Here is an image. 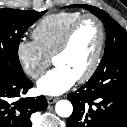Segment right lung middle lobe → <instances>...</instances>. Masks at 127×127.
<instances>
[{
	"label": "right lung middle lobe",
	"mask_w": 127,
	"mask_h": 127,
	"mask_svg": "<svg viewBox=\"0 0 127 127\" xmlns=\"http://www.w3.org/2000/svg\"><path fill=\"white\" fill-rule=\"evenodd\" d=\"M45 11L0 9V67L17 76L25 75L18 58L20 39Z\"/></svg>",
	"instance_id": "obj_1"
}]
</instances>
